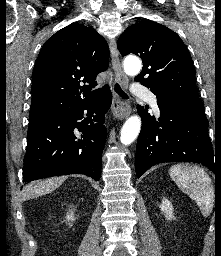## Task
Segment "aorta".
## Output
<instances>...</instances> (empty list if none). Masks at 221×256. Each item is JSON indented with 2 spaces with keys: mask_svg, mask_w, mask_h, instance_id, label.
<instances>
[{
  "mask_svg": "<svg viewBox=\"0 0 221 256\" xmlns=\"http://www.w3.org/2000/svg\"><path fill=\"white\" fill-rule=\"evenodd\" d=\"M124 70L128 75H137L141 70V62L139 59L126 60L124 62ZM141 129L140 117L134 115L126 120L121 132L120 141L123 145H130L138 136Z\"/></svg>",
  "mask_w": 221,
  "mask_h": 256,
  "instance_id": "1",
  "label": "aorta"
}]
</instances>
